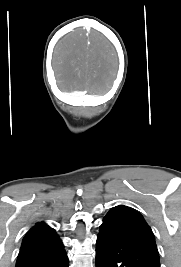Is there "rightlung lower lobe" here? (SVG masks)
<instances>
[{"instance_id": "1", "label": "right lung lower lobe", "mask_w": 181, "mask_h": 267, "mask_svg": "<svg viewBox=\"0 0 181 267\" xmlns=\"http://www.w3.org/2000/svg\"><path fill=\"white\" fill-rule=\"evenodd\" d=\"M16 267H68V258L63 248L52 251H21Z\"/></svg>"}]
</instances>
